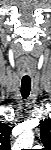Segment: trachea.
Returning a JSON list of instances; mask_svg holds the SVG:
<instances>
[{
	"label": "trachea",
	"mask_w": 51,
	"mask_h": 150,
	"mask_svg": "<svg viewBox=\"0 0 51 150\" xmlns=\"http://www.w3.org/2000/svg\"><path fill=\"white\" fill-rule=\"evenodd\" d=\"M30 90H31V80L30 79H22L21 95H22L23 99H26L29 96Z\"/></svg>",
	"instance_id": "trachea-1"
}]
</instances>
